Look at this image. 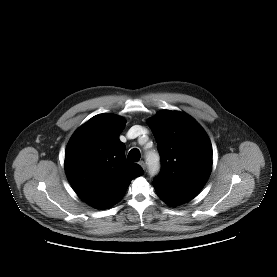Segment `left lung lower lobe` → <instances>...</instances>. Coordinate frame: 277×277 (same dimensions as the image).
<instances>
[{"instance_id": "obj_1", "label": "left lung lower lobe", "mask_w": 277, "mask_h": 277, "mask_svg": "<svg viewBox=\"0 0 277 277\" xmlns=\"http://www.w3.org/2000/svg\"><path fill=\"white\" fill-rule=\"evenodd\" d=\"M154 188L156 190L157 195L160 197V199H162L170 206H178L194 198L186 195L172 193L155 185H154Z\"/></svg>"}]
</instances>
